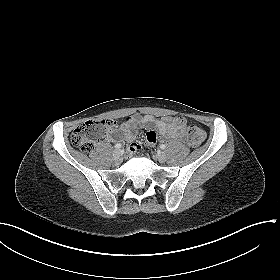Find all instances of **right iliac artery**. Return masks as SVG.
<instances>
[{
  "label": "right iliac artery",
  "mask_w": 280,
  "mask_h": 280,
  "mask_svg": "<svg viewBox=\"0 0 280 280\" xmlns=\"http://www.w3.org/2000/svg\"><path fill=\"white\" fill-rule=\"evenodd\" d=\"M121 147H122L121 144H116V145H115V148H117V149H120Z\"/></svg>",
  "instance_id": "1"
}]
</instances>
